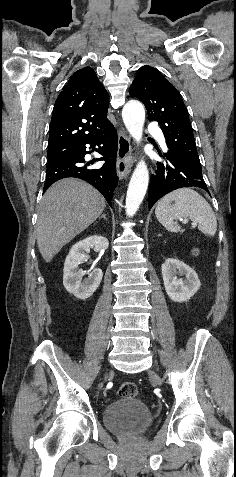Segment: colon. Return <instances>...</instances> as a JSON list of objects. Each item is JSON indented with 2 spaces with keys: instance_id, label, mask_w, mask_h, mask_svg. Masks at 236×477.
<instances>
[{
  "instance_id": "colon-1",
  "label": "colon",
  "mask_w": 236,
  "mask_h": 477,
  "mask_svg": "<svg viewBox=\"0 0 236 477\" xmlns=\"http://www.w3.org/2000/svg\"><path fill=\"white\" fill-rule=\"evenodd\" d=\"M137 392V387L132 382H124L118 388V393L121 397H136Z\"/></svg>"
}]
</instances>
